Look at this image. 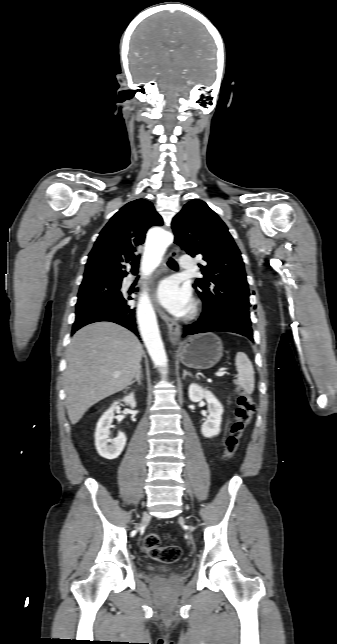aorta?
<instances>
[{
    "instance_id": "obj_1",
    "label": "aorta",
    "mask_w": 337,
    "mask_h": 644,
    "mask_svg": "<svg viewBox=\"0 0 337 644\" xmlns=\"http://www.w3.org/2000/svg\"><path fill=\"white\" fill-rule=\"evenodd\" d=\"M171 239L172 236L169 233L161 232L160 246L157 249L150 247L144 252L141 263L143 278L149 276L158 266L163 255L164 246ZM137 318L142 339L153 363L161 368L166 367L167 356L159 333L155 312L148 294L145 291L139 298L137 306Z\"/></svg>"
}]
</instances>
